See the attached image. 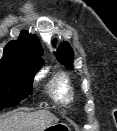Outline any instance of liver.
I'll use <instances>...</instances> for the list:
<instances>
[{"instance_id": "obj_1", "label": "liver", "mask_w": 117, "mask_h": 131, "mask_svg": "<svg viewBox=\"0 0 117 131\" xmlns=\"http://www.w3.org/2000/svg\"><path fill=\"white\" fill-rule=\"evenodd\" d=\"M57 122L58 119L48 111L18 113L0 120V131H43Z\"/></svg>"}]
</instances>
